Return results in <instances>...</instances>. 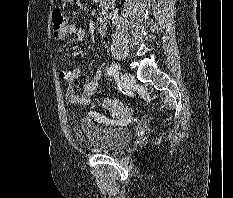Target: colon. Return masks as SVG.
<instances>
[{
  "instance_id": "1",
  "label": "colon",
  "mask_w": 233,
  "mask_h": 198,
  "mask_svg": "<svg viewBox=\"0 0 233 198\" xmlns=\"http://www.w3.org/2000/svg\"><path fill=\"white\" fill-rule=\"evenodd\" d=\"M52 25L54 32L61 31L66 25L64 14L58 9L52 12ZM98 104L104 112L113 117L124 118L133 112L130 106L109 98L100 100Z\"/></svg>"
}]
</instances>
